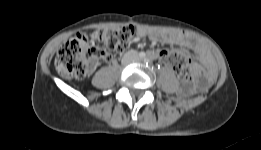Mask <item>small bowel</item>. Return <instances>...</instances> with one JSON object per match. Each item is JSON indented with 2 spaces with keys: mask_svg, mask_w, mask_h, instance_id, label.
<instances>
[{
  "mask_svg": "<svg viewBox=\"0 0 261 150\" xmlns=\"http://www.w3.org/2000/svg\"><path fill=\"white\" fill-rule=\"evenodd\" d=\"M148 36L149 39L154 43H164L170 45H178L184 48L190 49L194 55L199 59L201 64L206 68V73L203 72L200 65L194 66V73L196 75L195 83L202 85L205 78H209L213 75L215 67L212 57L210 56L207 48L197 40L187 37L184 35L169 34L160 31H150L146 28H139L137 32V37ZM167 50H151L148 52L149 56L154 59H161L163 61L164 53Z\"/></svg>",
  "mask_w": 261,
  "mask_h": 150,
  "instance_id": "1",
  "label": "small bowel"
}]
</instances>
